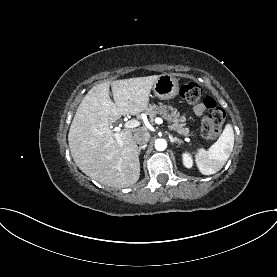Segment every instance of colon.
Returning a JSON list of instances; mask_svg holds the SVG:
<instances>
[{
  "label": "colon",
  "mask_w": 277,
  "mask_h": 277,
  "mask_svg": "<svg viewBox=\"0 0 277 277\" xmlns=\"http://www.w3.org/2000/svg\"><path fill=\"white\" fill-rule=\"evenodd\" d=\"M181 97L189 103H196L202 97L201 87L194 82L183 84L180 88ZM202 103L207 109V113L203 116L201 124V137L205 141H212L222 131L225 121V111L216 105L215 100L211 96H205Z\"/></svg>",
  "instance_id": "obj_1"
}]
</instances>
